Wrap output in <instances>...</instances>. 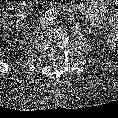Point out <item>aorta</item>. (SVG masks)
Returning <instances> with one entry per match:
<instances>
[{"mask_svg": "<svg viewBox=\"0 0 118 118\" xmlns=\"http://www.w3.org/2000/svg\"><path fill=\"white\" fill-rule=\"evenodd\" d=\"M57 11L53 8L47 10L45 13H44V18L47 20V21H53L57 18Z\"/></svg>", "mask_w": 118, "mask_h": 118, "instance_id": "762f6f07", "label": "aorta"}]
</instances>
